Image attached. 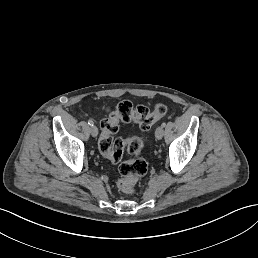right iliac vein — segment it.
Returning a JSON list of instances; mask_svg holds the SVG:
<instances>
[{
  "instance_id": "63e3f726",
  "label": "right iliac vein",
  "mask_w": 258,
  "mask_h": 258,
  "mask_svg": "<svg viewBox=\"0 0 258 258\" xmlns=\"http://www.w3.org/2000/svg\"><path fill=\"white\" fill-rule=\"evenodd\" d=\"M89 131L92 135H97L98 134V129H97L96 126H91Z\"/></svg>"
}]
</instances>
